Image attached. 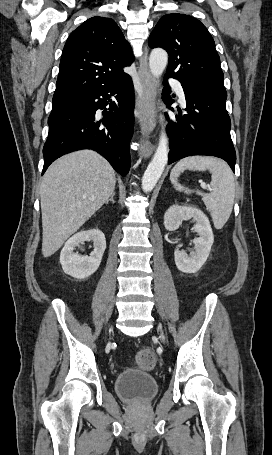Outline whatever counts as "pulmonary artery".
I'll return each mask as SVG.
<instances>
[{"label": "pulmonary artery", "instance_id": "e3ab8cb5", "mask_svg": "<svg viewBox=\"0 0 272 455\" xmlns=\"http://www.w3.org/2000/svg\"><path fill=\"white\" fill-rule=\"evenodd\" d=\"M169 82L175 88V90H176L178 96L180 97V99L182 101H184L185 100V96H184V91H183L181 83L178 80L173 79V78H170Z\"/></svg>", "mask_w": 272, "mask_h": 455}]
</instances>
